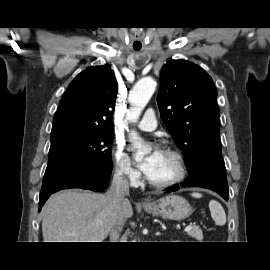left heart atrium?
<instances>
[{
  "mask_svg": "<svg viewBox=\"0 0 270 270\" xmlns=\"http://www.w3.org/2000/svg\"><path fill=\"white\" fill-rule=\"evenodd\" d=\"M163 152L158 148H154L151 154L140 164L141 170L147 175L150 176L154 171L161 155Z\"/></svg>",
  "mask_w": 270,
  "mask_h": 270,
  "instance_id": "39dd6f15",
  "label": "left heart atrium"
}]
</instances>
